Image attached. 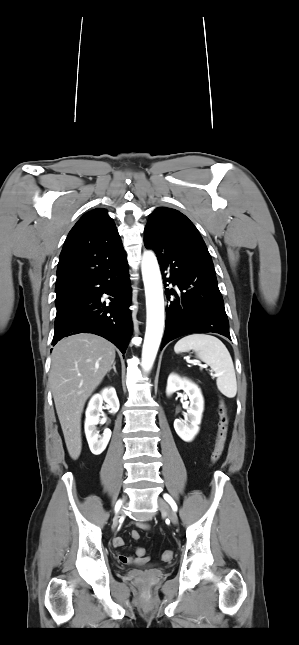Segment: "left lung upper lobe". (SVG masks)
Returning a JSON list of instances; mask_svg holds the SVG:
<instances>
[{"label":"left lung upper lobe","mask_w":299,"mask_h":645,"mask_svg":"<svg viewBox=\"0 0 299 645\" xmlns=\"http://www.w3.org/2000/svg\"><path fill=\"white\" fill-rule=\"evenodd\" d=\"M176 232L191 235L203 241L193 223L181 212L167 207H160L150 214V219L145 227V236H164Z\"/></svg>","instance_id":"1"}]
</instances>
